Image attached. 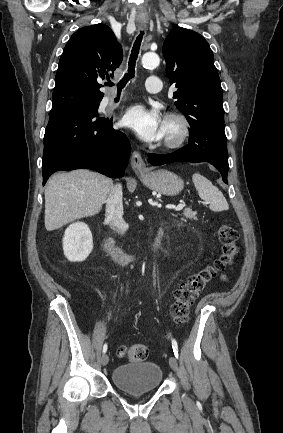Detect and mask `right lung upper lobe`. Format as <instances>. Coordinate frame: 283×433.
Listing matches in <instances>:
<instances>
[{"instance_id":"right-lung-upper-lobe-1","label":"right lung upper lobe","mask_w":283,"mask_h":433,"mask_svg":"<svg viewBox=\"0 0 283 433\" xmlns=\"http://www.w3.org/2000/svg\"><path fill=\"white\" fill-rule=\"evenodd\" d=\"M122 59V47L107 25L99 23L76 31L59 61L50 115L101 101L104 93L98 81L109 80Z\"/></svg>"}]
</instances>
